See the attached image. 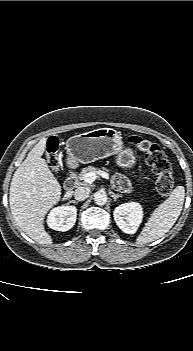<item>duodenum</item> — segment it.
<instances>
[{
	"label": "duodenum",
	"instance_id": "1",
	"mask_svg": "<svg viewBox=\"0 0 193 351\" xmlns=\"http://www.w3.org/2000/svg\"><path fill=\"white\" fill-rule=\"evenodd\" d=\"M77 186V181L75 177L74 167L69 166V172L64 183V187L67 191H73Z\"/></svg>",
	"mask_w": 193,
	"mask_h": 351
}]
</instances>
